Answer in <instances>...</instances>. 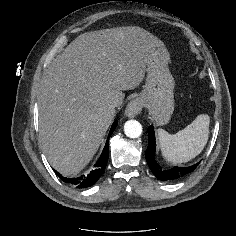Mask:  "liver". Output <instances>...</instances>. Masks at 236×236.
I'll return each mask as SVG.
<instances>
[{
	"label": "liver",
	"instance_id": "1",
	"mask_svg": "<svg viewBox=\"0 0 236 236\" xmlns=\"http://www.w3.org/2000/svg\"><path fill=\"white\" fill-rule=\"evenodd\" d=\"M169 53L162 41L135 27L78 36L45 71L38 95L39 136L51 166L79 173L97 152L115 110L144 79L152 57Z\"/></svg>",
	"mask_w": 236,
	"mask_h": 236
}]
</instances>
